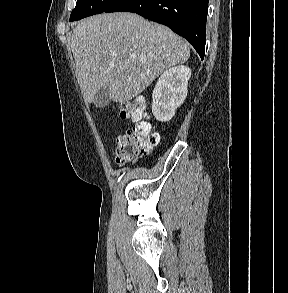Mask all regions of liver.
Instances as JSON below:
<instances>
[{
  "label": "liver",
  "mask_w": 288,
  "mask_h": 293,
  "mask_svg": "<svg viewBox=\"0 0 288 293\" xmlns=\"http://www.w3.org/2000/svg\"><path fill=\"white\" fill-rule=\"evenodd\" d=\"M70 46L88 103L103 86L109 87L114 102L131 100L159 75L190 57L187 43L168 27L128 12L82 20Z\"/></svg>",
  "instance_id": "obj_1"
}]
</instances>
